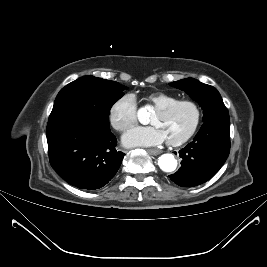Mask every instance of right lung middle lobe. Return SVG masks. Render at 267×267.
Instances as JSON below:
<instances>
[{
  "label": "right lung middle lobe",
  "instance_id": "obj_1",
  "mask_svg": "<svg viewBox=\"0 0 267 267\" xmlns=\"http://www.w3.org/2000/svg\"><path fill=\"white\" fill-rule=\"evenodd\" d=\"M125 86L91 75L66 85L58 93L48 124L70 115L96 120L109 126L113 104L123 96Z\"/></svg>",
  "mask_w": 267,
  "mask_h": 267
}]
</instances>
